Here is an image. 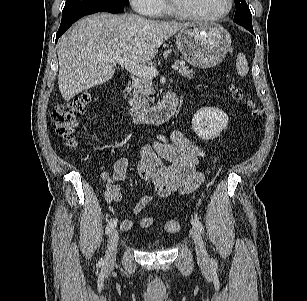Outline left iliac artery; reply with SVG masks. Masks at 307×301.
Here are the masks:
<instances>
[{
  "mask_svg": "<svg viewBox=\"0 0 307 301\" xmlns=\"http://www.w3.org/2000/svg\"><path fill=\"white\" fill-rule=\"evenodd\" d=\"M191 224L197 228L201 233H204V226L203 224L196 218H192L191 219ZM211 263H215V260L214 259H211Z\"/></svg>",
  "mask_w": 307,
  "mask_h": 301,
  "instance_id": "44dca946",
  "label": "left iliac artery"
}]
</instances>
